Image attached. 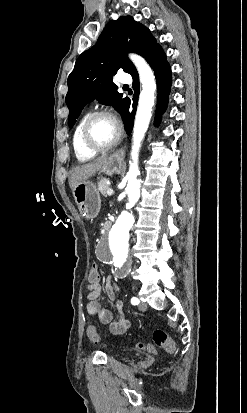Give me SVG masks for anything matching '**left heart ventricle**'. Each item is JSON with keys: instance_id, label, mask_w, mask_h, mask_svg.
Instances as JSON below:
<instances>
[{"instance_id": "b2bd125f", "label": "left heart ventricle", "mask_w": 247, "mask_h": 413, "mask_svg": "<svg viewBox=\"0 0 247 413\" xmlns=\"http://www.w3.org/2000/svg\"><path fill=\"white\" fill-rule=\"evenodd\" d=\"M117 133V126L111 125L107 117H101L90 126L88 137L93 143L106 144L112 141Z\"/></svg>"}]
</instances>
